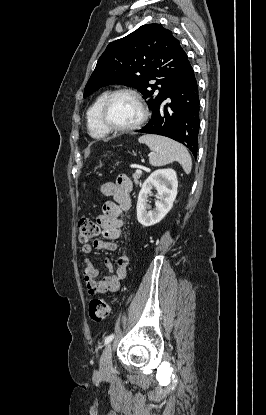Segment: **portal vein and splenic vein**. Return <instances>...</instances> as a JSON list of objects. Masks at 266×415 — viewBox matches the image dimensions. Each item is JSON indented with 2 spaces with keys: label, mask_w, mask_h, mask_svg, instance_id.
Returning a JSON list of instances; mask_svg holds the SVG:
<instances>
[{
  "label": "portal vein and splenic vein",
  "mask_w": 266,
  "mask_h": 415,
  "mask_svg": "<svg viewBox=\"0 0 266 415\" xmlns=\"http://www.w3.org/2000/svg\"><path fill=\"white\" fill-rule=\"evenodd\" d=\"M136 173H137V174H139V173H142V170H141V168H139V169H136Z\"/></svg>",
  "instance_id": "1"
}]
</instances>
